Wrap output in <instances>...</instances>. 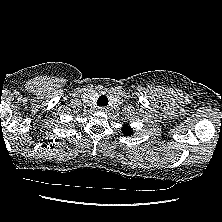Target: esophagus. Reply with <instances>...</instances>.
<instances>
[{
	"label": "esophagus",
	"instance_id": "esophagus-1",
	"mask_svg": "<svg viewBox=\"0 0 222 222\" xmlns=\"http://www.w3.org/2000/svg\"><path fill=\"white\" fill-rule=\"evenodd\" d=\"M98 110L103 113L107 112V108L104 106L99 107Z\"/></svg>",
	"mask_w": 222,
	"mask_h": 222
}]
</instances>
